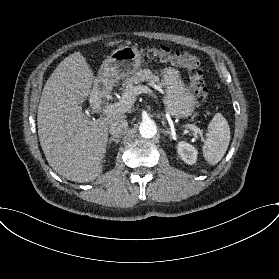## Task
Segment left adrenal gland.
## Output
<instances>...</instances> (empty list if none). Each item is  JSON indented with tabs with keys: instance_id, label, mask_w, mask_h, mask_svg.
<instances>
[{
	"instance_id": "a2214340",
	"label": "left adrenal gland",
	"mask_w": 279,
	"mask_h": 279,
	"mask_svg": "<svg viewBox=\"0 0 279 279\" xmlns=\"http://www.w3.org/2000/svg\"><path fill=\"white\" fill-rule=\"evenodd\" d=\"M162 134H163L164 136H171V135H172V134H171V131H170V130H167L166 128L163 129Z\"/></svg>"
}]
</instances>
